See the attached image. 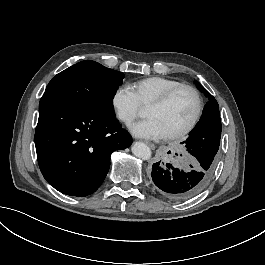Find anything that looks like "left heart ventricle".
<instances>
[{"instance_id": "obj_1", "label": "left heart ventricle", "mask_w": 265, "mask_h": 265, "mask_svg": "<svg viewBox=\"0 0 265 265\" xmlns=\"http://www.w3.org/2000/svg\"><path fill=\"white\" fill-rule=\"evenodd\" d=\"M195 109L196 104L192 94L184 91L176 95L162 108H147L145 116L155 119L166 136L185 128L190 123Z\"/></svg>"}]
</instances>
